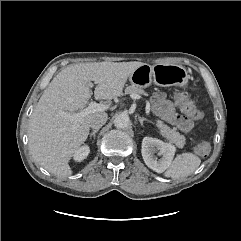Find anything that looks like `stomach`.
Here are the masks:
<instances>
[{"mask_svg":"<svg viewBox=\"0 0 241 241\" xmlns=\"http://www.w3.org/2000/svg\"><path fill=\"white\" fill-rule=\"evenodd\" d=\"M190 76L185 67L179 64H143L129 76L131 84L146 88L154 82L158 86L186 87Z\"/></svg>","mask_w":241,"mask_h":241,"instance_id":"1","label":"stomach"}]
</instances>
